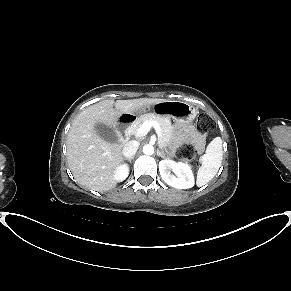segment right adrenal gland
Masks as SVG:
<instances>
[{"label":"right adrenal gland","instance_id":"right-adrenal-gland-1","mask_svg":"<svg viewBox=\"0 0 291 291\" xmlns=\"http://www.w3.org/2000/svg\"><path fill=\"white\" fill-rule=\"evenodd\" d=\"M125 160H128V161H132V159H133V157H131V158H124Z\"/></svg>","mask_w":291,"mask_h":291}]
</instances>
